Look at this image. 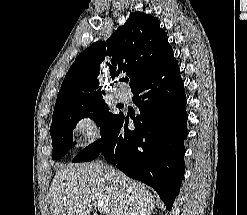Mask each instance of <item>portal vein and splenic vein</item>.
Here are the masks:
<instances>
[{"label": "portal vein and splenic vein", "instance_id": "portal-vein-and-splenic-vein-1", "mask_svg": "<svg viewBox=\"0 0 247 215\" xmlns=\"http://www.w3.org/2000/svg\"><path fill=\"white\" fill-rule=\"evenodd\" d=\"M96 206L99 210L106 211V205L103 203V201H98Z\"/></svg>", "mask_w": 247, "mask_h": 215}]
</instances>
